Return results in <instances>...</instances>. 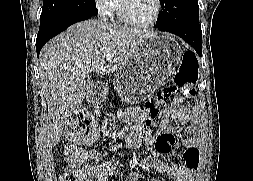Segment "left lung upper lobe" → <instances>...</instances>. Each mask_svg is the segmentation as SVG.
Wrapping results in <instances>:
<instances>
[{"instance_id":"obj_1","label":"left lung upper lobe","mask_w":253,"mask_h":181,"mask_svg":"<svg viewBox=\"0 0 253 181\" xmlns=\"http://www.w3.org/2000/svg\"><path fill=\"white\" fill-rule=\"evenodd\" d=\"M156 26L168 24H199L198 0H160Z\"/></svg>"}]
</instances>
